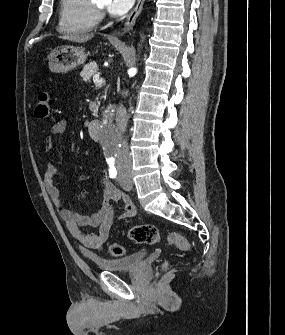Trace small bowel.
I'll return each mask as SVG.
<instances>
[{"label": "small bowel", "mask_w": 285, "mask_h": 335, "mask_svg": "<svg viewBox=\"0 0 285 335\" xmlns=\"http://www.w3.org/2000/svg\"><path fill=\"white\" fill-rule=\"evenodd\" d=\"M66 129V120L56 122L49 130L44 149L46 151H52L54 148V138L63 134ZM57 168L58 165L56 163H48L42 177L43 184L53 204L56 206L59 216L65 222L68 231L84 248L92 249L97 247L99 243L105 241L116 219L125 220L135 216L136 208L129 196L117 189L105 173L102 177V204L93 214L80 215L65 208L62 205L60 192L53 181ZM115 203H121V212L118 215L115 214ZM84 227H98V232H85L83 230Z\"/></svg>", "instance_id": "c3829d8e"}]
</instances>
